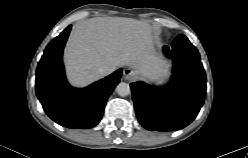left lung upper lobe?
Instances as JSON below:
<instances>
[{
  "label": "left lung upper lobe",
  "instance_id": "5c2ea615",
  "mask_svg": "<svg viewBox=\"0 0 248 158\" xmlns=\"http://www.w3.org/2000/svg\"><path fill=\"white\" fill-rule=\"evenodd\" d=\"M175 41H177V42H179V41L187 42V41H189V40L186 38V36H184V35H179V36L175 39Z\"/></svg>",
  "mask_w": 248,
  "mask_h": 158
}]
</instances>
